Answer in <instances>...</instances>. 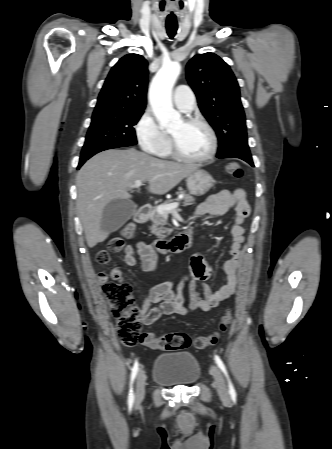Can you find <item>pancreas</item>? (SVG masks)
<instances>
[{"instance_id": "pancreas-1", "label": "pancreas", "mask_w": 332, "mask_h": 449, "mask_svg": "<svg viewBox=\"0 0 332 449\" xmlns=\"http://www.w3.org/2000/svg\"><path fill=\"white\" fill-rule=\"evenodd\" d=\"M182 194H183V198H182L183 206H189L194 203L195 199L191 195L184 194V193H182ZM172 202H173L172 199H168L163 203V205H167ZM150 218L153 223L150 228L151 233L156 235L158 238H165L167 235H169L171 233L170 229L163 227L165 225L164 215L160 214L157 211V208L152 212Z\"/></svg>"}]
</instances>
